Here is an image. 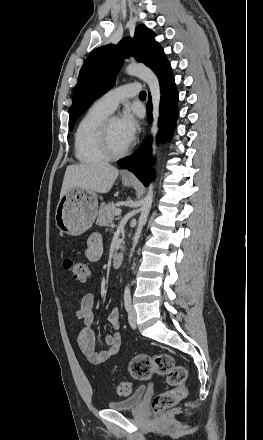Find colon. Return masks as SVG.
Here are the masks:
<instances>
[{
  "label": "colon",
  "instance_id": "5ec220e1",
  "mask_svg": "<svg viewBox=\"0 0 263 440\" xmlns=\"http://www.w3.org/2000/svg\"><path fill=\"white\" fill-rule=\"evenodd\" d=\"M63 266L78 281L83 282L90 275L89 266L82 261L65 257ZM129 373L132 378L140 381L150 379L153 374L165 377L170 389L154 397L152 408L155 412H161L175 406L186 395L187 371L185 367L177 364L168 353L160 352L152 356L145 354L134 356L129 362ZM118 390L121 394L128 395L131 393L132 385L129 382H123L118 386Z\"/></svg>",
  "mask_w": 263,
  "mask_h": 440
}]
</instances>
